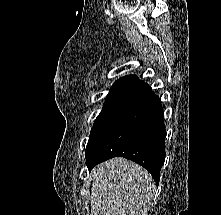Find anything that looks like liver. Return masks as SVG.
Instances as JSON below:
<instances>
[{"mask_svg": "<svg viewBox=\"0 0 221 215\" xmlns=\"http://www.w3.org/2000/svg\"><path fill=\"white\" fill-rule=\"evenodd\" d=\"M91 215H147L155 193L152 176L122 157L91 171Z\"/></svg>", "mask_w": 221, "mask_h": 215, "instance_id": "1", "label": "liver"}]
</instances>
